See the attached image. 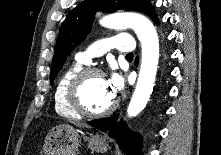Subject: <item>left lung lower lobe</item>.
Returning <instances> with one entry per match:
<instances>
[{"mask_svg": "<svg viewBox=\"0 0 221 155\" xmlns=\"http://www.w3.org/2000/svg\"><path fill=\"white\" fill-rule=\"evenodd\" d=\"M154 22H158L154 10L149 14ZM137 64V60H136ZM119 114L112 117L95 119L88 124L114 137L118 145L128 155H141V139L137 133L131 132L123 121L117 123Z\"/></svg>", "mask_w": 221, "mask_h": 155, "instance_id": "left-lung-lower-lobe-1", "label": "left lung lower lobe"}]
</instances>
